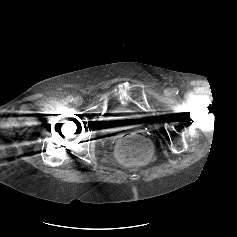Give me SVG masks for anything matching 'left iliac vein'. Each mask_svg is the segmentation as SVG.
I'll use <instances>...</instances> for the list:
<instances>
[{
  "mask_svg": "<svg viewBox=\"0 0 237 237\" xmlns=\"http://www.w3.org/2000/svg\"><path fill=\"white\" fill-rule=\"evenodd\" d=\"M165 94H166V96H170L172 93H171V90H166L165 91Z\"/></svg>",
  "mask_w": 237,
  "mask_h": 237,
  "instance_id": "4c4485c4",
  "label": "left iliac vein"
}]
</instances>
